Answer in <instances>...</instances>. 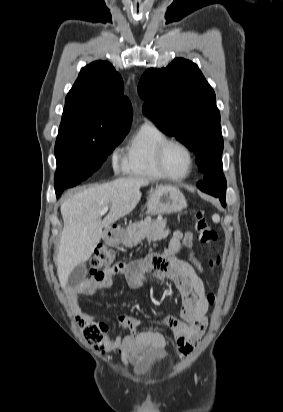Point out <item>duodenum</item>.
Instances as JSON below:
<instances>
[{
    "label": "duodenum",
    "instance_id": "410a0bca",
    "mask_svg": "<svg viewBox=\"0 0 283 412\" xmlns=\"http://www.w3.org/2000/svg\"><path fill=\"white\" fill-rule=\"evenodd\" d=\"M120 234V228L114 226L112 229L109 230L107 240L110 245L116 244Z\"/></svg>",
    "mask_w": 283,
    "mask_h": 412
}]
</instances>
